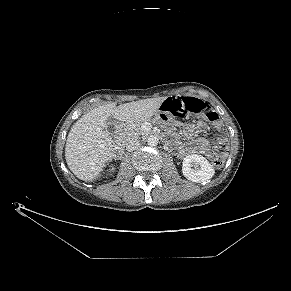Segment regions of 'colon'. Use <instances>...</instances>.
Listing matches in <instances>:
<instances>
[{"mask_svg": "<svg viewBox=\"0 0 291 291\" xmlns=\"http://www.w3.org/2000/svg\"><path fill=\"white\" fill-rule=\"evenodd\" d=\"M162 110L177 117L201 116L212 122L216 127L220 126L218 114L210 105L197 98L170 97L163 103ZM228 149V143L225 140L218 142L217 156L213 161V165L216 168L223 166Z\"/></svg>", "mask_w": 291, "mask_h": 291, "instance_id": "5ec220e1", "label": "colon"}]
</instances>
